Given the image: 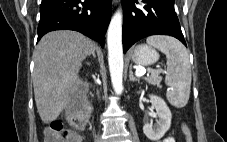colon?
Listing matches in <instances>:
<instances>
[{
    "mask_svg": "<svg viewBox=\"0 0 227 142\" xmlns=\"http://www.w3.org/2000/svg\"><path fill=\"white\" fill-rule=\"evenodd\" d=\"M87 111L74 110L70 113V127L61 121H53L45 130V142H79L77 130L82 129L86 123ZM185 142H192V135L186 124L182 126Z\"/></svg>",
    "mask_w": 227,
    "mask_h": 142,
    "instance_id": "5ec220e1",
    "label": "colon"
}]
</instances>
